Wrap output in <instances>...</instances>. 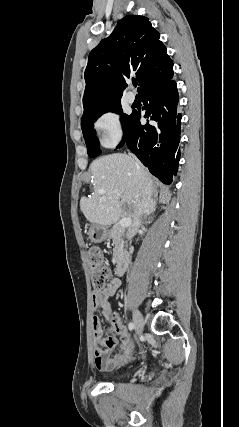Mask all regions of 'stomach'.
<instances>
[{
  "instance_id": "0dacf381",
  "label": "stomach",
  "mask_w": 239,
  "mask_h": 427,
  "mask_svg": "<svg viewBox=\"0 0 239 427\" xmlns=\"http://www.w3.org/2000/svg\"><path fill=\"white\" fill-rule=\"evenodd\" d=\"M88 236L91 242L101 243L109 238V230L106 226L92 224L88 230Z\"/></svg>"
}]
</instances>
